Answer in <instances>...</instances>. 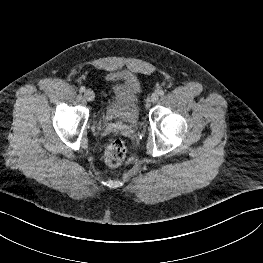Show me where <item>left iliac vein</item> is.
I'll list each match as a JSON object with an SVG mask.
<instances>
[{"mask_svg":"<svg viewBox=\"0 0 263 263\" xmlns=\"http://www.w3.org/2000/svg\"><path fill=\"white\" fill-rule=\"evenodd\" d=\"M158 99H159L158 93H153V94L151 95V97H150V101H151L152 103L157 102Z\"/></svg>","mask_w":263,"mask_h":263,"instance_id":"obj_1","label":"left iliac vein"}]
</instances>
